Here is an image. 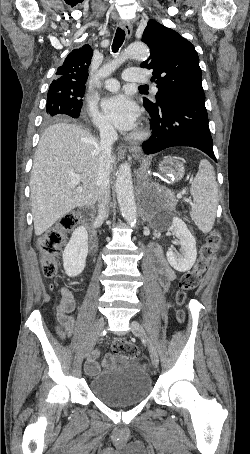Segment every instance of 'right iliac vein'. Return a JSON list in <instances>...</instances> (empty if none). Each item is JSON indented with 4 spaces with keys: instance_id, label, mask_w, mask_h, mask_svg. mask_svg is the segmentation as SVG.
<instances>
[{
    "instance_id": "1",
    "label": "right iliac vein",
    "mask_w": 250,
    "mask_h": 454,
    "mask_svg": "<svg viewBox=\"0 0 250 454\" xmlns=\"http://www.w3.org/2000/svg\"><path fill=\"white\" fill-rule=\"evenodd\" d=\"M104 319L103 318H100L96 321L95 323V326H94V330H93V334H92V337L87 345V348H86V353H85V356H88L89 353L93 350L95 344H96V341L99 337V335L101 334L102 330H103V327H104Z\"/></svg>"
}]
</instances>
